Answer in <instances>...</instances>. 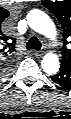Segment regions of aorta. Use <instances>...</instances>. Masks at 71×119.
<instances>
[{"instance_id": "762f6f07", "label": "aorta", "mask_w": 71, "mask_h": 119, "mask_svg": "<svg viewBox=\"0 0 71 119\" xmlns=\"http://www.w3.org/2000/svg\"><path fill=\"white\" fill-rule=\"evenodd\" d=\"M28 25L36 32L48 37L56 36V27L51 18L41 10H32L27 15ZM41 66L45 73L54 75L59 71L60 63L57 55L47 54L43 57Z\"/></svg>"}]
</instances>
